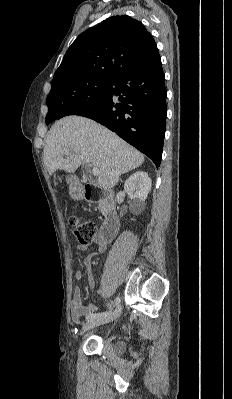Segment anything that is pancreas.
Wrapping results in <instances>:
<instances>
[{"mask_svg": "<svg viewBox=\"0 0 232 399\" xmlns=\"http://www.w3.org/2000/svg\"><path fill=\"white\" fill-rule=\"evenodd\" d=\"M100 209H101V211H103V209H102V205H100Z\"/></svg>", "mask_w": 232, "mask_h": 399, "instance_id": "cf45deb5", "label": "pancreas"}]
</instances>
